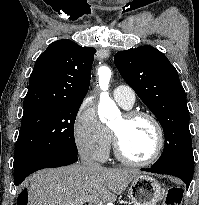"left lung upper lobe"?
I'll list each match as a JSON object with an SVG mask.
<instances>
[{
    "label": "left lung upper lobe",
    "mask_w": 199,
    "mask_h": 205,
    "mask_svg": "<svg viewBox=\"0 0 199 205\" xmlns=\"http://www.w3.org/2000/svg\"><path fill=\"white\" fill-rule=\"evenodd\" d=\"M114 62L123 79L153 112L164 130V150L153 166H177L193 173L189 111L175 67L152 46L120 51L115 54Z\"/></svg>",
    "instance_id": "obj_1"
}]
</instances>
